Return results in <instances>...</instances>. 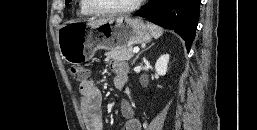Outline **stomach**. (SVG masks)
I'll list each match as a JSON object with an SVG mask.
<instances>
[{"mask_svg":"<svg viewBox=\"0 0 257 130\" xmlns=\"http://www.w3.org/2000/svg\"><path fill=\"white\" fill-rule=\"evenodd\" d=\"M150 40L144 22L129 17L108 18L99 23L68 21L58 30L61 56L71 64L90 60L99 49L115 50Z\"/></svg>","mask_w":257,"mask_h":130,"instance_id":"stomach-1","label":"stomach"}]
</instances>
